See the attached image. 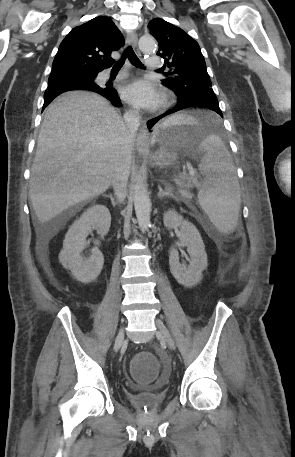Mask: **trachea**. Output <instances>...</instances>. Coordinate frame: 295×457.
Returning <instances> with one entry per match:
<instances>
[{"mask_svg": "<svg viewBox=\"0 0 295 457\" xmlns=\"http://www.w3.org/2000/svg\"><path fill=\"white\" fill-rule=\"evenodd\" d=\"M128 58V60L131 62L132 65H134L137 68H144L143 64L135 54L133 48L131 46H128L126 50L123 52L122 57L120 60H118L115 65L113 66V70H120L125 62V59Z\"/></svg>", "mask_w": 295, "mask_h": 457, "instance_id": "trachea-1", "label": "trachea"}]
</instances>
